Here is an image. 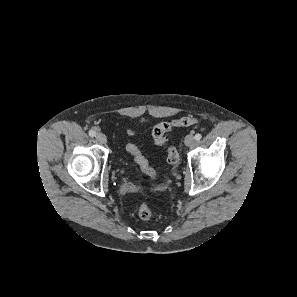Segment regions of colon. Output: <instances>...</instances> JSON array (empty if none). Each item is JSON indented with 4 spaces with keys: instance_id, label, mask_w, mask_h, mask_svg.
Instances as JSON below:
<instances>
[{
    "instance_id": "obj_1",
    "label": "colon",
    "mask_w": 297,
    "mask_h": 297,
    "mask_svg": "<svg viewBox=\"0 0 297 297\" xmlns=\"http://www.w3.org/2000/svg\"><path fill=\"white\" fill-rule=\"evenodd\" d=\"M195 123V119L192 117H181L171 121H163L158 123L152 132L153 141L157 146H164L167 144L166 133L175 127H187ZM127 152L134 156L135 161L141 167V169L152 177H156L154 169L149 165L147 159L141 154L139 149L134 144H128L126 146ZM167 161L176 165L180 161V155L176 148L169 146L167 148ZM138 215L143 220H148L153 215V209L147 202H143L138 209Z\"/></svg>"
}]
</instances>
